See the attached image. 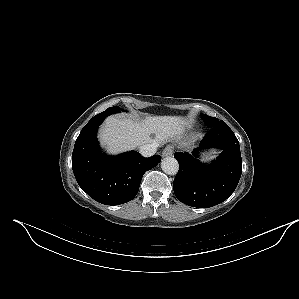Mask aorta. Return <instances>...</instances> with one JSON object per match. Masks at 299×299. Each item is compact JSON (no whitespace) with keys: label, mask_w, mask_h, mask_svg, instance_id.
Segmentation results:
<instances>
[{"label":"aorta","mask_w":299,"mask_h":299,"mask_svg":"<svg viewBox=\"0 0 299 299\" xmlns=\"http://www.w3.org/2000/svg\"><path fill=\"white\" fill-rule=\"evenodd\" d=\"M161 168L166 174L175 175L179 170V164L174 157H166L161 162Z\"/></svg>","instance_id":"obj_1"}]
</instances>
